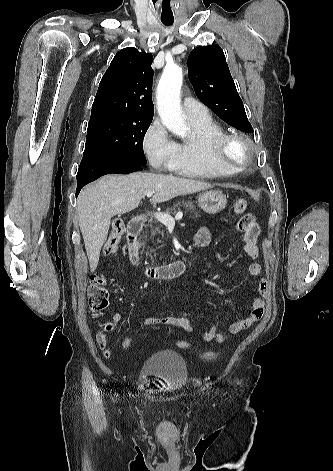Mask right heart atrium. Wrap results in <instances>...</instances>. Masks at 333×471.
I'll use <instances>...</instances> for the list:
<instances>
[{"label": "right heart atrium", "instance_id": "obj_1", "mask_svg": "<svg viewBox=\"0 0 333 471\" xmlns=\"http://www.w3.org/2000/svg\"><path fill=\"white\" fill-rule=\"evenodd\" d=\"M142 145L155 169L170 168L176 153V142L160 120L156 119L150 124L143 136Z\"/></svg>", "mask_w": 333, "mask_h": 471}]
</instances>
